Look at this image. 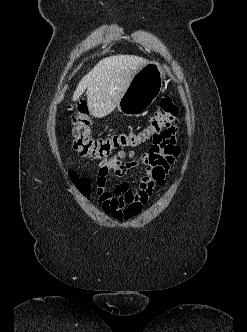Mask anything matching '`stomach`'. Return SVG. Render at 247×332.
Listing matches in <instances>:
<instances>
[{
  "instance_id": "stomach-1",
  "label": "stomach",
  "mask_w": 247,
  "mask_h": 332,
  "mask_svg": "<svg viewBox=\"0 0 247 332\" xmlns=\"http://www.w3.org/2000/svg\"><path fill=\"white\" fill-rule=\"evenodd\" d=\"M165 68L156 61H148L133 76L117 105L126 116H141L159 96L163 87Z\"/></svg>"
}]
</instances>
